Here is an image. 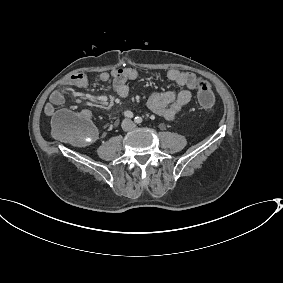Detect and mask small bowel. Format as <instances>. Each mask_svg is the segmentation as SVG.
I'll return each instance as SVG.
<instances>
[{"instance_id":"1","label":"small bowel","mask_w":283,"mask_h":283,"mask_svg":"<svg viewBox=\"0 0 283 283\" xmlns=\"http://www.w3.org/2000/svg\"><path fill=\"white\" fill-rule=\"evenodd\" d=\"M165 77L182 87L179 91L152 92L146 102V107L151 112L157 114L166 121H173L181 109L187 105L192 98V90L196 88V76L190 72H183L177 69H170ZM138 78V72L130 67H123L112 70L111 72H102L99 79L102 82H112L115 93L125 98L129 94L128 82ZM89 84V79L85 74H73L64 79V86H75L85 88ZM65 97L62 91L55 90L51 93L49 102L45 105V114L54 116L56 107L62 106ZM81 114L90 118L89 110H82Z\"/></svg>"}]
</instances>
